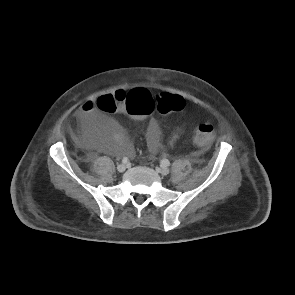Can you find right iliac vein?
Returning <instances> with one entry per match:
<instances>
[{
  "instance_id": "right-iliac-vein-1",
  "label": "right iliac vein",
  "mask_w": 295,
  "mask_h": 295,
  "mask_svg": "<svg viewBox=\"0 0 295 295\" xmlns=\"http://www.w3.org/2000/svg\"><path fill=\"white\" fill-rule=\"evenodd\" d=\"M126 170V165L125 164H119L118 166H117V171L118 172H120V173H122V172H124Z\"/></svg>"
}]
</instances>
